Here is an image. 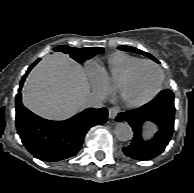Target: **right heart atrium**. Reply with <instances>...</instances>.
I'll list each match as a JSON object with an SVG mask.
<instances>
[{
  "instance_id": "1",
  "label": "right heart atrium",
  "mask_w": 194,
  "mask_h": 193,
  "mask_svg": "<svg viewBox=\"0 0 194 193\" xmlns=\"http://www.w3.org/2000/svg\"><path fill=\"white\" fill-rule=\"evenodd\" d=\"M85 74L91 89L98 95H105L111 91L110 85L102 77L97 65L89 61L85 65Z\"/></svg>"
}]
</instances>
